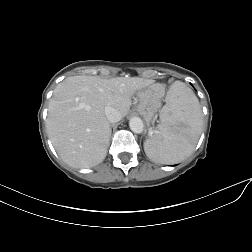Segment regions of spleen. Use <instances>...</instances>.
Returning <instances> with one entry per match:
<instances>
[{
  "instance_id": "obj_1",
  "label": "spleen",
  "mask_w": 252,
  "mask_h": 252,
  "mask_svg": "<svg viewBox=\"0 0 252 252\" xmlns=\"http://www.w3.org/2000/svg\"><path fill=\"white\" fill-rule=\"evenodd\" d=\"M160 117L158 129L144 143L145 153L154 162L178 163L193 152L201 134L199 101L189 87L175 81L167 92Z\"/></svg>"
}]
</instances>
